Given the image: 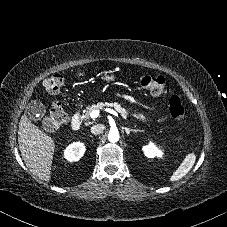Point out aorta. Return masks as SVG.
I'll list each match as a JSON object with an SVG mask.
<instances>
[{
    "mask_svg": "<svg viewBox=\"0 0 227 227\" xmlns=\"http://www.w3.org/2000/svg\"><path fill=\"white\" fill-rule=\"evenodd\" d=\"M108 140L112 143H115L119 140V133L118 131H110L108 134Z\"/></svg>",
    "mask_w": 227,
    "mask_h": 227,
    "instance_id": "aorta-1",
    "label": "aorta"
}]
</instances>
